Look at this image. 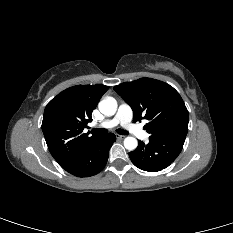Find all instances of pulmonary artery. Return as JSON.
<instances>
[{
  "instance_id": "1",
  "label": "pulmonary artery",
  "mask_w": 233,
  "mask_h": 233,
  "mask_svg": "<svg viewBox=\"0 0 233 233\" xmlns=\"http://www.w3.org/2000/svg\"><path fill=\"white\" fill-rule=\"evenodd\" d=\"M133 112L129 105L123 103L119 106L116 115L107 121H104L99 126L103 128H113L115 126L121 125L129 132L134 134L139 139L145 140L148 138L147 132H145L138 125L132 123Z\"/></svg>"
}]
</instances>
